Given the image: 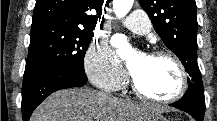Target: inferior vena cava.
<instances>
[{
  "instance_id": "602c4592",
  "label": "inferior vena cava",
  "mask_w": 217,
  "mask_h": 121,
  "mask_svg": "<svg viewBox=\"0 0 217 121\" xmlns=\"http://www.w3.org/2000/svg\"><path fill=\"white\" fill-rule=\"evenodd\" d=\"M98 95H104V96H106V94L103 93V92H98Z\"/></svg>"
}]
</instances>
